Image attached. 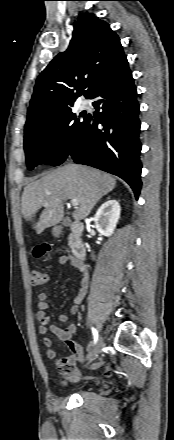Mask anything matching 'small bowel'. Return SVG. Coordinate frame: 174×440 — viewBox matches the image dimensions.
<instances>
[{"label":"small bowel","instance_id":"1","mask_svg":"<svg viewBox=\"0 0 174 440\" xmlns=\"http://www.w3.org/2000/svg\"><path fill=\"white\" fill-rule=\"evenodd\" d=\"M59 263L61 265L71 264L74 267L79 268L77 260L71 254H63L59 257ZM88 287V278L84 275L81 280L80 290L75 297L74 305L71 306L69 313L60 314L57 317L58 322L65 323L68 321L70 315L77 314L79 311V305L83 302ZM48 302L47 294H38V304L36 311V318L39 322L38 331L43 336V344L46 348V356L50 359L56 358V350L53 347L52 340L47 336L49 333L54 334L72 352L71 356L56 360V367L60 371L61 375L70 381H77L81 378V372L75 367L76 362L81 361L83 357V347L77 343L74 338L78 333V328L75 324H70L66 328H60L54 324H51V319L47 315ZM103 365V362H97L92 364L91 368H98ZM112 376V371L108 368L104 372V377Z\"/></svg>","mask_w":174,"mask_h":440}]
</instances>
